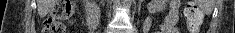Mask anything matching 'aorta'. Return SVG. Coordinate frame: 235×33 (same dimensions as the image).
<instances>
[{"label":"aorta","instance_id":"aorta-1","mask_svg":"<svg viewBox=\"0 0 235 33\" xmlns=\"http://www.w3.org/2000/svg\"><path fill=\"white\" fill-rule=\"evenodd\" d=\"M128 4L131 2V0H125Z\"/></svg>","mask_w":235,"mask_h":33}]
</instances>
